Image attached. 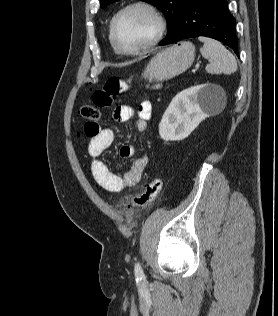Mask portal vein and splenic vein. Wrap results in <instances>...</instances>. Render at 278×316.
I'll return each instance as SVG.
<instances>
[{"instance_id":"18ae733b","label":"portal vein and splenic vein","mask_w":278,"mask_h":316,"mask_svg":"<svg viewBox=\"0 0 278 316\" xmlns=\"http://www.w3.org/2000/svg\"><path fill=\"white\" fill-rule=\"evenodd\" d=\"M199 64H196V66H195V70H197L198 68H199Z\"/></svg>"}]
</instances>
